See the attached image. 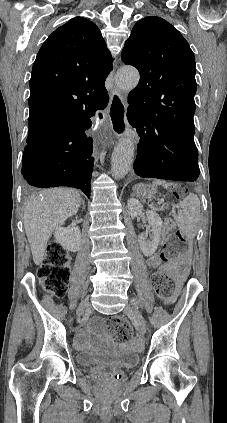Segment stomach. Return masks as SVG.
<instances>
[{
    "label": "stomach",
    "instance_id": "1",
    "mask_svg": "<svg viewBox=\"0 0 227 423\" xmlns=\"http://www.w3.org/2000/svg\"><path fill=\"white\" fill-rule=\"evenodd\" d=\"M156 192L157 188L155 186H143V184L135 186V194L142 196V198H154Z\"/></svg>",
    "mask_w": 227,
    "mask_h": 423
}]
</instances>
